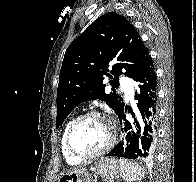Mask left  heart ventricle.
<instances>
[{
  "instance_id": "1",
  "label": "left heart ventricle",
  "mask_w": 196,
  "mask_h": 182,
  "mask_svg": "<svg viewBox=\"0 0 196 182\" xmlns=\"http://www.w3.org/2000/svg\"><path fill=\"white\" fill-rule=\"evenodd\" d=\"M107 136V126L101 119L87 118L75 128L71 143L78 152L92 154L105 145Z\"/></svg>"
}]
</instances>
